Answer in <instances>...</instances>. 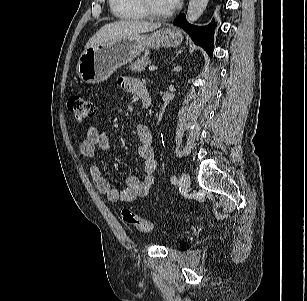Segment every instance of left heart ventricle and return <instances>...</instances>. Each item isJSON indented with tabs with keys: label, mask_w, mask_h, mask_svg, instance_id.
I'll list each match as a JSON object with an SVG mask.
<instances>
[{
	"label": "left heart ventricle",
	"mask_w": 307,
	"mask_h": 301,
	"mask_svg": "<svg viewBox=\"0 0 307 301\" xmlns=\"http://www.w3.org/2000/svg\"><path fill=\"white\" fill-rule=\"evenodd\" d=\"M151 7L158 12H167L171 9L167 0H148Z\"/></svg>",
	"instance_id": "obj_1"
}]
</instances>
